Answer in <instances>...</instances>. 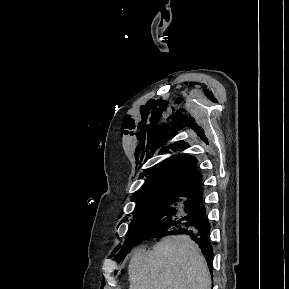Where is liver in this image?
Listing matches in <instances>:
<instances>
[{
	"mask_svg": "<svg viewBox=\"0 0 289 289\" xmlns=\"http://www.w3.org/2000/svg\"><path fill=\"white\" fill-rule=\"evenodd\" d=\"M128 274L129 289H211L206 260L187 235L163 238L149 252L136 249Z\"/></svg>",
	"mask_w": 289,
	"mask_h": 289,
	"instance_id": "1",
	"label": "liver"
}]
</instances>
